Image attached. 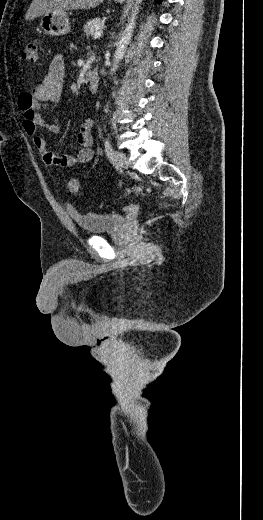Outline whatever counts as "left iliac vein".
Returning a JSON list of instances; mask_svg holds the SVG:
<instances>
[{
    "label": "left iliac vein",
    "mask_w": 263,
    "mask_h": 520,
    "mask_svg": "<svg viewBox=\"0 0 263 520\" xmlns=\"http://www.w3.org/2000/svg\"><path fill=\"white\" fill-rule=\"evenodd\" d=\"M113 156H114V160L115 162L121 167V168H128L129 166V161H128V158L127 156L122 153V152H118V151H114L113 152Z\"/></svg>",
    "instance_id": "4c4485c4"
}]
</instances>
